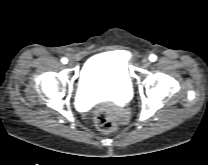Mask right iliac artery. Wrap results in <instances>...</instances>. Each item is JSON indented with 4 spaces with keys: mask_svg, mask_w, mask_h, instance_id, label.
<instances>
[{
    "mask_svg": "<svg viewBox=\"0 0 208 165\" xmlns=\"http://www.w3.org/2000/svg\"><path fill=\"white\" fill-rule=\"evenodd\" d=\"M67 61H68L67 58H62V59H61V62H62L63 64H66Z\"/></svg>",
    "mask_w": 208,
    "mask_h": 165,
    "instance_id": "82829eb1",
    "label": "right iliac artery"
}]
</instances>
